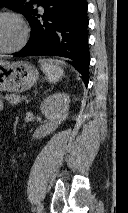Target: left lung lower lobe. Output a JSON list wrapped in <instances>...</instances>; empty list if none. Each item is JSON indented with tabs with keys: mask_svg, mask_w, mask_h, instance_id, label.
<instances>
[{
	"mask_svg": "<svg viewBox=\"0 0 128 213\" xmlns=\"http://www.w3.org/2000/svg\"><path fill=\"white\" fill-rule=\"evenodd\" d=\"M36 4L45 12L40 16L34 8L29 21L31 38L21 51L13 54L14 57L55 55L69 58L87 86L90 54L86 0H38Z\"/></svg>",
	"mask_w": 128,
	"mask_h": 213,
	"instance_id": "1",
	"label": "left lung lower lobe"
}]
</instances>
